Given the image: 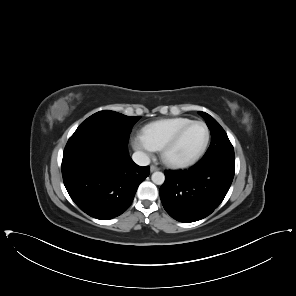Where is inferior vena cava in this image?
<instances>
[{
    "instance_id": "1",
    "label": "inferior vena cava",
    "mask_w": 296,
    "mask_h": 296,
    "mask_svg": "<svg viewBox=\"0 0 296 296\" xmlns=\"http://www.w3.org/2000/svg\"><path fill=\"white\" fill-rule=\"evenodd\" d=\"M133 161L139 166H147L150 164V158L142 151H136L132 155Z\"/></svg>"
}]
</instances>
